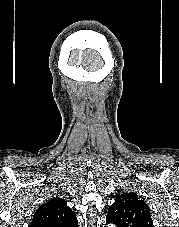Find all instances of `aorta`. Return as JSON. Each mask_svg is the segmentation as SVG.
Returning a JSON list of instances; mask_svg holds the SVG:
<instances>
[{
  "mask_svg": "<svg viewBox=\"0 0 179 227\" xmlns=\"http://www.w3.org/2000/svg\"><path fill=\"white\" fill-rule=\"evenodd\" d=\"M109 227H114L113 225H110Z\"/></svg>",
  "mask_w": 179,
  "mask_h": 227,
  "instance_id": "1",
  "label": "aorta"
}]
</instances>
